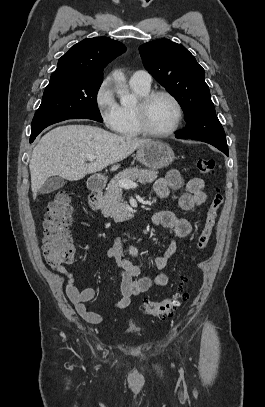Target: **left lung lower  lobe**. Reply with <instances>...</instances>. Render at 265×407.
Listing matches in <instances>:
<instances>
[{"label": "left lung lower lobe", "mask_w": 265, "mask_h": 407, "mask_svg": "<svg viewBox=\"0 0 265 407\" xmlns=\"http://www.w3.org/2000/svg\"><path fill=\"white\" fill-rule=\"evenodd\" d=\"M216 148H218L219 150H221L222 152H224L226 155H228V151H226L225 149L220 148V147H216Z\"/></svg>", "instance_id": "1"}]
</instances>
